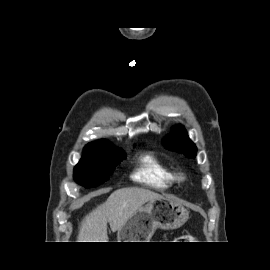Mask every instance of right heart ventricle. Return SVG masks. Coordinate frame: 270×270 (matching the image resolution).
Segmentation results:
<instances>
[{"label": "right heart ventricle", "instance_id": "1", "mask_svg": "<svg viewBox=\"0 0 270 270\" xmlns=\"http://www.w3.org/2000/svg\"><path fill=\"white\" fill-rule=\"evenodd\" d=\"M132 178L140 184L157 190L168 189L177 181L175 171L152 153H147L140 158Z\"/></svg>", "mask_w": 270, "mask_h": 270}]
</instances>
